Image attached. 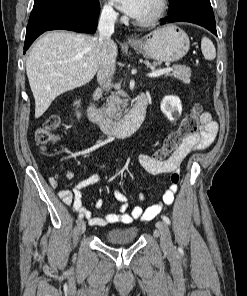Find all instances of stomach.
Masks as SVG:
<instances>
[{
  "instance_id": "0dacf381",
  "label": "stomach",
  "mask_w": 247,
  "mask_h": 296,
  "mask_svg": "<svg viewBox=\"0 0 247 296\" xmlns=\"http://www.w3.org/2000/svg\"><path fill=\"white\" fill-rule=\"evenodd\" d=\"M131 46L158 62H175L190 48L188 35L175 25H167L142 37Z\"/></svg>"
}]
</instances>
